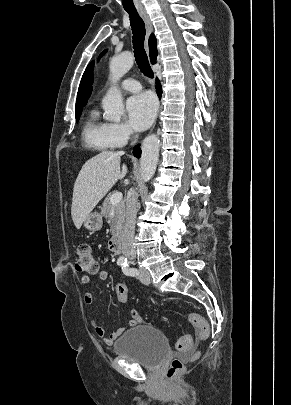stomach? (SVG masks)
<instances>
[{"label": "stomach", "instance_id": "obj_1", "mask_svg": "<svg viewBox=\"0 0 291 405\" xmlns=\"http://www.w3.org/2000/svg\"><path fill=\"white\" fill-rule=\"evenodd\" d=\"M102 225V216L98 212L90 213L83 222V226L89 231H98L102 228Z\"/></svg>", "mask_w": 291, "mask_h": 405}]
</instances>
